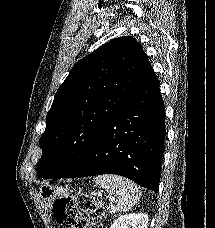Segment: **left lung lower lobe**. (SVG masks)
Here are the masks:
<instances>
[{
  "label": "left lung lower lobe",
  "instance_id": "0a47b994",
  "mask_svg": "<svg viewBox=\"0 0 215 228\" xmlns=\"http://www.w3.org/2000/svg\"><path fill=\"white\" fill-rule=\"evenodd\" d=\"M165 107L152 69L60 178L116 174L158 192L164 153Z\"/></svg>",
  "mask_w": 215,
  "mask_h": 228
}]
</instances>
